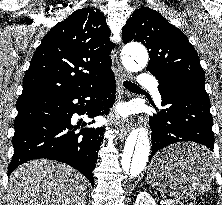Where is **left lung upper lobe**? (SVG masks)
I'll return each mask as SVG.
<instances>
[{"mask_svg":"<svg viewBox=\"0 0 222 205\" xmlns=\"http://www.w3.org/2000/svg\"><path fill=\"white\" fill-rule=\"evenodd\" d=\"M124 43L138 41L149 51L146 68L158 78L183 82L205 91V74L187 37L159 12L141 7L122 29Z\"/></svg>","mask_w":222,"mask_h":205,"instance_id":"5c2ea615","label":"left lung upper lobe"}]
</instances>
